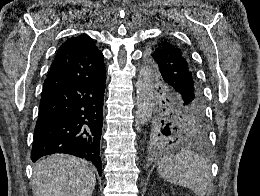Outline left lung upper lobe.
Instances as JSON below:
<instances>
[{"mask_svg": "<svg viewBox=\"0 0 260 196\" xmlns=\"http://www.w3.org/2000/svg\"><path fill=\"white\" fill-rule=\"evenodd\" d=\"M149 66L159 87L144 143L149 151L182 143H205L209 136L204 96L187 49L162 38L147 50Z\"/></svg>", "mask_w": 260, "mask_h": 196, "instance_id": "obj_1", "label": "left lung upper lobe"}]
</instances>
